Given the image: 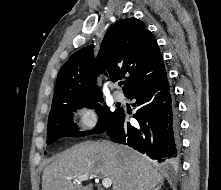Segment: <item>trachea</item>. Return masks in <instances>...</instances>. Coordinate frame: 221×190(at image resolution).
<instances>
[{
  "label": "trachea",
  "instance_id": "3493384b",
  "mask_svg": "<svg viewBox=\"0 0 221 190\" xmlns=\"http://www.w3.org/2000/svg\"><path fill=\"white\" fill-rule=\"evenodd\" d=\"M123 84V82H119V85L121 86Z\"/></svg>",
  "mask_w": 221,
  "mask_h": 190
}]
</instances>
